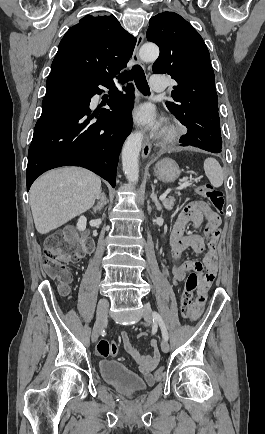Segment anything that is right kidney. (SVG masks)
I'll use <instances>...</instances> for the list:
<instances>
[{
	"label": "right kidney",
	"instance_id": "1",
	"mask_svg": "<svg viewBox=\"0 0 265 434\" xmlns=\"http://www.w3.org/2000/svg\"><path fill=\"white\" fill-rule=\"evenodd\" d=\"M86 218L85 216H80L78 222H77V230H80V232H84L86 228Z\"/></svg>",
	"mask_w": 265,
	"mask_h": 434
}]
</instances>
